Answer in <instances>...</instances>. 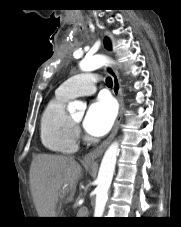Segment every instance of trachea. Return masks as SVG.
<instances>
[{"instance_id":"3493384b","label":"trachea","mask_w":181,"mask_h":227,"mask_svg":"<svg viewBox=\"0 0 181 227\" xmlns=\"http://www.w3.org/2000/svg\"><path fill=\"white\" fill-rule=\"evenodd\" d=\"M106 84L107 86L111 87L112 86V79L109 77L106 79Z\"/></svg>"}]
</instances>
